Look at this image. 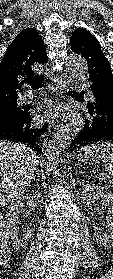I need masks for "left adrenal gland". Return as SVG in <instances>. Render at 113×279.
<instances>
[{"label":"left adrenal gland","mask_w":113,"mask_h":279,"mask_svg":"<svg viewBox=\"0 0 113 279\" xmlns=\"http://www.w3.org/2000/svg\"><path fill=\"white\" fill-rule=\"evenodd\" d=\"M83 174V172L82 171H80V175H82Z\"/></svg>","instance_id":"left-adrenal-gland-1"}]
</instances>
